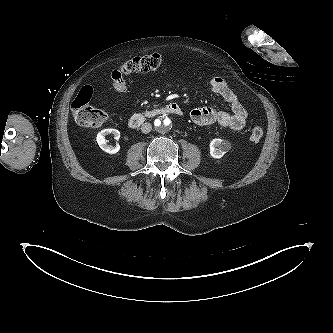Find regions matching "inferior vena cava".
<instances>
[{
    "instance_id": "obj_1",
    "label": "inferior vena cava",
    "mask_w": 333,
    "mask_h": 333,
    "mask_svg": "<svg viewBox=\"0 0 333 333\" xmlns=\"http://www.w3.org/2000/svg\"><path fill=\"white\" fill-rule=\"evenodd\" d=\"M152 130V125L150 123H144L142 126H141V131L144 133V134H147L149 133L150 131Z\"/></svg>"
}]
</instances>
